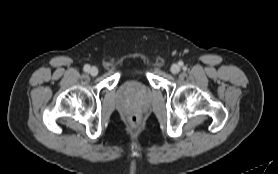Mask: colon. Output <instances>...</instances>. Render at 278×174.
I'll return each instance as SVG.
<instances>
[{
  "label": "colon",
  "instance_id": "colon-1",
  "mask_svg": "<svg viewBox=\"0 0 278 174\" xmlns=\"http://www.w3.org/2000/svg\"><path fill=\"white\" fill-rule=\"evenodd\" d=\"M130 123L133 125V126H136V125H138V123H139V119L137 118V117H132L131 119H130Z\"/></svg>",
  "mask_w": 278,
  "mask_h": 174
}]
</instances>
